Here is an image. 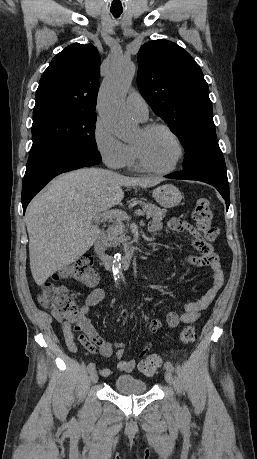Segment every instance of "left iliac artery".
Segmentation results:
<instances>
[{"instance_id":"obj_1","label":"left iliac artery","mask_w":257,"mask_h":459,"mask_svg":"<svg viewBox=\"0 0 257 459\" xmlns=\"http://www.w3.org/2000/svg\"><path fill=\"white\" fill-rule=\"evenodd\" d=\"M164 367H165L166 369L172 371V372L174 371V367H173V365L171 364V362H168V361L165 362ZM184 410H185L186 412H188V408H187L186 406H184Z\"/></svg>"}]
</instances>
